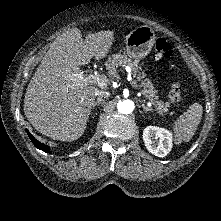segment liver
<instances>
[{
  "instance_id": "6515ba94",
  "label": "liver",
  "mask_w": 221,
  "mask_h": 221,
  "mask_svg": "<svg viewBox=\"0 0 221 221\" xmlns=\"http://www.w3.org/2000/svg\"><path fill=\"white\" fill-rule=\"evenodd\" d=\"M114 32L88 34L85 41L78 28L67 30L52 43L25 93L24 113L41 134L55 140L80 138L95 103V86L78 82L79 66L95 57H106Z\"/></svg>"
}]
</instances>
